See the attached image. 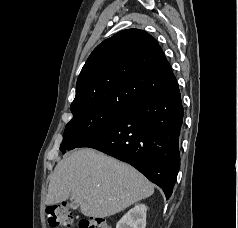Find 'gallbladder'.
Returning a JSON list of instances; mask_svg holds the SVG:
<instances>
[{
	"label": "gallbladder",
	"instance_id": "obj_1",
	"mask_svg": "<svg viewBox=\"0 0 238 228\" xmlns=\"http://www.w3.org/2000/svg\"><path fill=\"white\" fill-rule=\"evenodd\" d=\"M77 207H78L77 204H75V203H72V204H71V208L76 209Z\"/></svg>",
	"mask_w": 238,
	"mask_h": 228
}]
</instances>
